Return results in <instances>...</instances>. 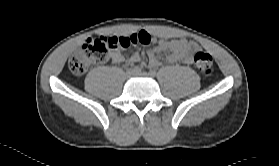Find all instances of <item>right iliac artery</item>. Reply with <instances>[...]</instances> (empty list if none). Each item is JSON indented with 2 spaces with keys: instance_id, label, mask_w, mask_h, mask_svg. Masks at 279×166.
<instances>
[{
  "instance_id": "obj_1",
  "label": "right iliac artery",
  "mask_w": 279,
  "mask_h": 166,
  "mask_svg": "<svg viewBox=\"0 0 279 166\" xmlns=\"http://www.w3.org/2000/svg\"><path fill=\"white\" fill-rule=\"evenodd\" d=\"M133 70L136 72V73H140L141 72V68L139 66H135L133 68Z\"/></svg>"
}]
</instances>
